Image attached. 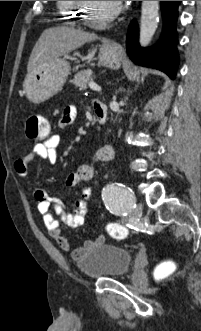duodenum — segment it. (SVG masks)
Returning <instances> with one entry per match:
<instances>
[{"instance_id":"obj_1","label":"duodenum","mask_w":201,"mask_h":331,"mask_svg":"<svg viewBox=\"0 0 201 331\" xmlns=\"http://www.w3.org/2000/svg\"><path fill=\"white\" fill-rule=\"evenodd\" d=\"M94 111H95V116H96L97 121L99 123H104L107 118V113H106L105 108L98 107Z\"/></svg>"}]
</instances>
